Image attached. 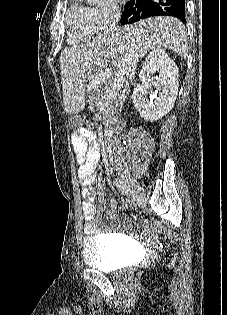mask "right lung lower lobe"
Wrapping results in <instances>:
<instances>
[{
	"label": "right lung lower lobe",
	"mask_w": 227,
	"mask_h": 315,
	"mask_svg": "<svg viewBox=\"0 0 227 315\" xmlns=\"http://www.w3.org/2000/svg\"><path fill=\"white\" fill-rule=\"evenodd\" d=\"M174 16L185 22V0H131L125 4L121 24H130L151 16Z\"/></svg>",
	"instance_id": "1"
}]
</instances>
